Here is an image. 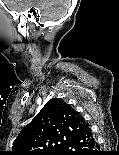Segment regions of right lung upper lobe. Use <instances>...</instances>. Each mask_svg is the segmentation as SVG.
<instances>
[{
	"label": "right lung upper lobe",
	"mask_w": 119,
	"mask_h": 155,
	"mask_svg": "<svg viewBox=\"0 0 119 155\" xmlns=\"http://www.w3.org/2000/svg\"><path fill=\"white\" fill-rule=\"evenodd\" d=\"M89 127L61 99L49 100L13 142L10 155H58L64 145Z\"/></svg>",
	"instance_id": "obj_1"
}]
</instances>
